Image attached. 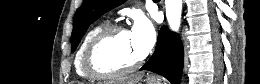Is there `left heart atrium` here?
Wrapping results in <instances>:
<instances>
[{
    "label": "left heart atrium",
    "mask_w": 260,
    "mask_h": 84,
    "mask_svg": "<svg viewBox=\"0 0 260 84\" xmlns=\"http://www.w3.org/2000/svg\"><path fill=\"white\" fill-rule=\"evenodd\" d=\"M130 34L139 56H146L153 48L156 40V32L152 21L145 15H138L134 20Z\"/></svg>",
    "instance_id": "1"
}]
</instances>
